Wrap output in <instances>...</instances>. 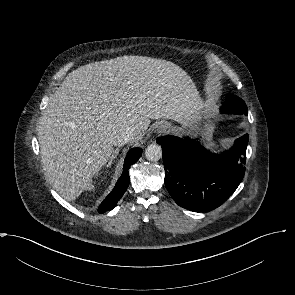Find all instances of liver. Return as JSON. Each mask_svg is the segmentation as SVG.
<instances>
[{
    "label": "liver",
    "mask_w": 295,
    "mask_h": 295,
    "mask_svg": "<svg viewBox=\"0 0 295 295\" xmlns=\"http://www.w3.org/2000/svg\"><path fill=\"white\" fill-rule=\"evenodd\" d=\"M209 108L191 77L166 60L125 55L81 66L52 94L40 119L43 167L53 188L75 200L92 189L123 131L133 130L138 143L150 119L191 125Z\"/></svg>",
    "instance_id": "liver-1"
}]
</instances>
